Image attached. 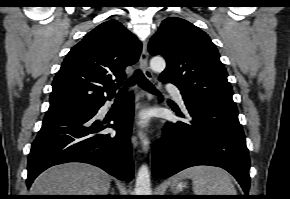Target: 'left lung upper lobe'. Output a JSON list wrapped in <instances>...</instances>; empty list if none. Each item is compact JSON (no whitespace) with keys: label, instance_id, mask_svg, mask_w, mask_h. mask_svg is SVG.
Returning <instances> with one entry per match:
<instances>
[{"label":"left lung upper lobe","instance_id":"left-lung-upper-lobe-1","mask_svg":"<svg viewBox=\"0 0 290 199\" xmlns=\"http://www.w3.org/2000/svg\"><path fill=\"white\" fill-rule=\"evenodd\" d=\"M149 52L166 59L167 67L159 79L176 85L183 98L237 109L218 50L209 36L190 22L165 19L149 42Z\"/></svg>","mask_w":290,"mask_h":199}]
</instances>
